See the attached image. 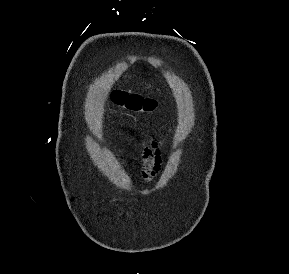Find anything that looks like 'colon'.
I'll list each match as a JSON object with an SVG mask.
<instances>
[{
	"mask_svg": "<svg viewBox=\"0 0 289 274\" xmlns=\"http://www.w3.org/2000/svg\"><path fill=\"white\" fill-rule=\"evenodd\" d=\"M112 100L115 104L132 112L150 113L157 108V101L139 95L128 94L123 91H114Z\"/></svg>",
	"mask_w": 289,
	"mask_h": 274,
	"instance_id": "5ec220e1",
	"label": "colon"
}]
</instances>
